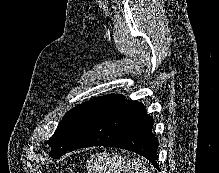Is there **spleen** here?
<instances>
[{
	"label": "spleen",
	"mask_w": 219,
	"mask_h": 173,
	"mask_svg": "<svg viewBox=\"0 0 219 173\" xmlns=\"http://www.w3.org/2000/svg\"><path fill=\"white\" fill-rule=\"evenodd\" d=\"M88 171V173H149L147 168L135 159L108 153L97 155V158L88 164Z\"/></svg>",
	"instance_id": "spleen-1"
}]
</instances>
